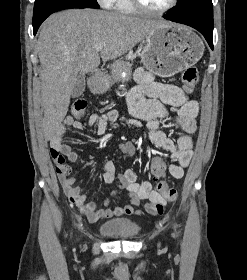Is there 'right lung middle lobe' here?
<instances>
[{"label": "right lung middle lobe", "instance_id": "obj_1", "mask_svg": "<svg viewBox=\"0 0 247 280\" xmlns=\"http://www.w3.org/2000/svg\"><path fill=\"white\" fill-rule=\"evenodd\" d=\"M73 7L100 8L96 0H35L33 23L44 21L58 10Z\"/></svg>", "mask_w": 247, "mask_h": 280}]
</instances>
